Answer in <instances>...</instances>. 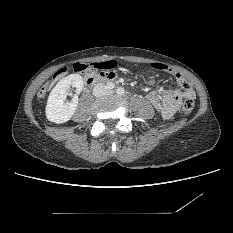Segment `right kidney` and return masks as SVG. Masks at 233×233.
<instances>
[{"label":"right kidney","instance_id":"1","mask_svg":"<svg viewBox=\"0 0 233 233\" xmlns=\"http://www.w3.org/2000/svg\"><path fill=\"white\" fill-rule=\"evenodd\" d=\"M83 78L79 74H70L62 78L52 89L46 105V117L56 124L65 123L75 113L78 106V96L74 95L70 103L64 102L70 87L76 88V93L80 94L83 89Z\"/></svg>","mask_w":233,"mask_h":233}]
</instances>
